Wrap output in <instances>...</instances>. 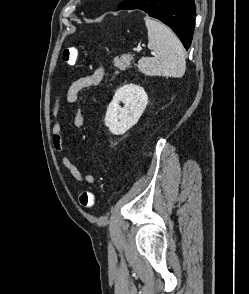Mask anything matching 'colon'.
<instances>
[{"mask_svg": "<svg viewBox=\"0 0 249 294\" xmlns=\"http://www.w3.org/2000/svg\"><path fill=\"white\" fill-rule=\"evenodd\" d=\"M79 57V49L76 47H66L62 52V59L66 64H76ZM80 205L83 208H91L95 204V194L91 191H83L79 196Z\"/></svg>", "mask_w": 249, "mask_h": 294, "instance_id": "5ec220e1", "label": "colon"}]
</instances>
